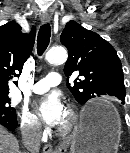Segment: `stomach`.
I'll list each match as a JSON object with an SVG mask.
<instances>
[{
	"label": "stomach",
	"instance_id": "1",
	"mask_svg": "<svg viewBox=\"0 0 130 153\" xmlns=\"http://www.w3.org/2000/svg\"><path fill=\"white\" fill-rule=\"evenodd\" d=\"M90 104L71 136V153H117L122 133L117 110L99 99ZM89 109L107 112L87 120L85 114Z\"/></svg>",
	"mask_w": 130,
	"mask_h": 153
}]
</instances>
